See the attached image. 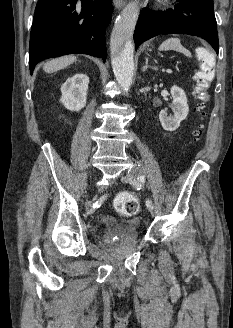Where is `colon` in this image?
<instances>
[{
  "mask_svg": "<svg viewBox=\"0 0 233 328\" xmlns=\"http://www.w3.org/2000/svg\"><path fill=\"white\" fill-rule=\"evenodd\" d=\"M198 58L200 60V68L195 75V109L203 115L208 100V88L215 74V58L211 51L207 49H200ZM200 134L201 131L196 132L197 136ZM114 207L123 216H133L139 211L140 204L135 195L123 192L116 197Z\"/></svg>",
  "mask_w": 233,
  "mask_h": 328,
  "instance_id": "1",
  "label": "colon"
}]
</instances>
